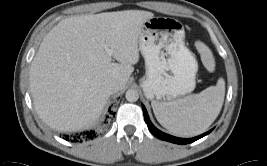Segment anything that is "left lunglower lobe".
<instances>
[{
	"label": "left lung lower lobe",
	"instance_id": "0a47b994",
	"mask_svg": "<svg viewBox=\"0 0 267 166\" xmlns=\"http://www.w3.org/2000/svg\"><path fill=\"white\" fill-rule=\"evenodd\" d=\"M142 108H143V114H144V119H145V122L148 126V129L149 131L155 135L157 138L161 139V140H165V141H168V142H172V143H176V144H189V143H192L202 137H204L205 135L209 134L212 130L200 135V136H197V137H194V138H189V139H184V138H177V137H174V136H171V135H168L166 133H163L161 132L160 130H158L150 121L149 117H148V114H147V111L145 109V107L142 105Z\"/></svg>",
	"mask_w": 267,
	"mask_h": 166
}]
</instances>
